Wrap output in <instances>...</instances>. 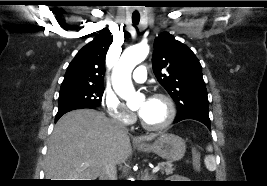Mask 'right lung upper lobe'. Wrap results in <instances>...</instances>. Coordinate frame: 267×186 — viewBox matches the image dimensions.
I'll use <instances>...</instances> for the list:
<instances>
[{
    "mask_svg": "<svg viewBox=\"0 0 267 186\" xmlns=\"http://www.w3.org/2000/svg\"><path fill=\"white\" fill-rule=\"evenodd\" d=\"M112 41L107 29L85 45L69 64L61 86H103L105 57Z\"/></svg>",
    "mask_w": 267,
    "mask_h": 186,
    "instance_id": "right-lung-upper-lobe-1",
    "label": "right lung upper lobe"
}]
</instances>
